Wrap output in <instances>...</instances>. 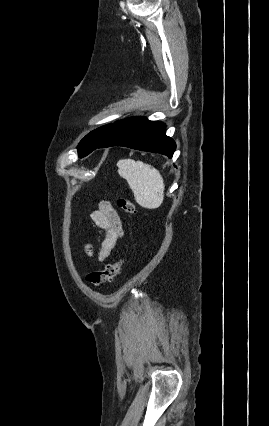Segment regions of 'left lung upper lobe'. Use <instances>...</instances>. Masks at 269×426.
Returning <instances> with one entry per match:
<instances>
[{"label": "left lung upper lobe", "mask_w": 269, "mask_h": 426, "mask_svg": "<svg viewBox=\"0 0 269 426\" xmlns=\"http://www.w3.org/2000/svg\"><path fill=\"white\" fill-rule=\"evenodd\" d=\"M113 124L97 128L85 136L78 145V156L83 158L91 153L104 139Z\"/></svg>", "instance_id": "1"}]
</instances>
